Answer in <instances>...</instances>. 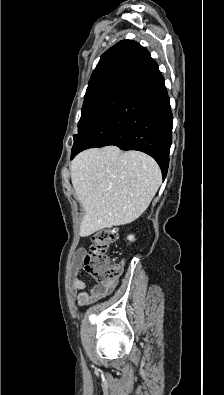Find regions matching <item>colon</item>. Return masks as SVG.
Returning <instances> with one entry per match:
<instances>
[{"mask_svg":"<svg viewBox=\"0 0 224 395\" xmlns=\"http://www.w3.org/2000/svg\"><path fill=\"white\" fill-rule=\"evenodd\" d=\"M116 236L115 228H104L91 235L90 249L83 258V266L85 272L98 283L114 282L120 274V268L111 262L107 254Z\"/></svg>","mask_w":224,"mask_h":395,"instance_id":"colon-1","label":"colon"}]
</instances>
